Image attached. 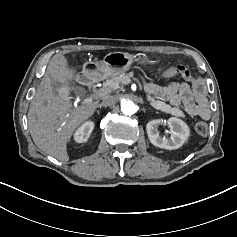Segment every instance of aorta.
Listing matches in <instances>:
<instances>
[{"mask_svg": "<svg viewBox=\"0 0 237 237\" xmlns=\"http://www.w3.org/2000/svg\"><path fill=\"white\" fill-rule=\"evenodd\" d=\"M121 111L124 115H132L136 112V105L132 101H123Z\"/></svg>", "mask_w": 237, "mask_h": 237, "instance_id": "aorta-1", "label": "aorta"}]
</instances>
